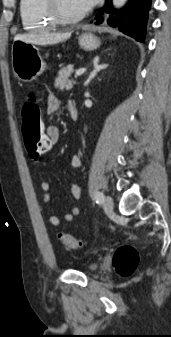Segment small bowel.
<instances>
[{
  "label": "small bowel",
  "instance_id": "small-bowel-1",
  "mask_svg": "<svg viewBox=\"0 0 171 337\" xmlns=\"http://www.w3.org/2000/svg\"><path fill=\"white\" fill-rule=\"evenodd\" d=\"M69 105V104H68ZM62 107V101L55 95H50L47 99L46 103V112L48 114H53L60 110ZM46 137L48 140H52V146L57 144L60 139V131L57 126L50 125L47 126L45 129ZM82 165V159L78 155H73L69 159V168L71 170H76L80 168ZM40 188L42 190V200L45 203L51 201V193H50V184L47 181H42L40 184ZM70 192L74 199L78 200L81 197V188L77 182L73 181L70 184ZM80 213V209L78 207H73L71 210L65 214L64 219L66 222H71L73 219L78 216ZM49 223L54 226L58 227L60 225L59 217L55 215H50L48 218Z\"/></svg>",
  "mask_w": 171,
  "mask_h": 337
}]
</instances>
